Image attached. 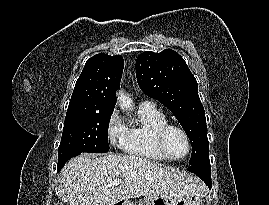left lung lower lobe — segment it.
<instances>
[{
    "instance_id": "1",
    "label": "left lung lower lobe",
    "mask_w": 269,
    "mask_h": 205,
    "mask_svg": "<svg viewBox=\"0 0 269 205\" xmlns=\"http://www.w3.org/2000/svg\"><path fill=\"white\" fill-rule=\"evenodd\" d=\"M187 170L196 174L207 184L209 188H211V167L209 157L191 165Z\"/></svg>"
}]
</instances>
